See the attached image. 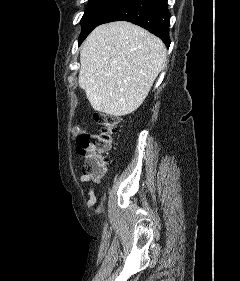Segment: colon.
Segmentation results:
<instances>
[{
  "label": "colon",
  "instance_id": "5ec220e1",
  "mask_svg": "<svg viewBox=\"0 0 240 281\" xmlns=\"http://www.w3.org/2000/svg\"><path fill=\"white\" fill-rule=\"evenodd\" d=\"M95 121L100 125L97 133L82 128L74 129L76 151L85 158L82 172L89 175H100L110 161L109 150L112 136L117 131L119 118L105 113H97Z\"/></svg>",
  "mask_w": 240,
  "mask_h": 281
}]
</instances>
